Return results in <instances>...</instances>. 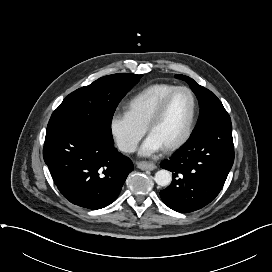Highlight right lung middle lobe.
<instances>
[{"instance_id":"1","label":"right lung middle lobe","mask_w":272,"mask_h":272,"mask_svg":"<svg viewBox=\"0 0 272 272\" xmlns=\"http://www.w3.org/2000/svg\"><path fill=\"white\" fill-rule=\"evenodd\" d=\"M142 75L119 73L99 78L69 94L53 112L46 135L57 131L87 127L112 139V117L121 99Z\"/></svg>"}]
</instances>
